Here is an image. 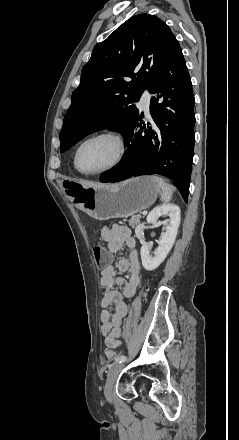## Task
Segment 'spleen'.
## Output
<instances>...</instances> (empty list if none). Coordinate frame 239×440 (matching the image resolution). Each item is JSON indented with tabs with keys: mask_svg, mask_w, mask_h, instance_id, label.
<instances>
[{
	"mask_svg": "<svg viewBox=\"0 0 239 440\" xmlns=\"http://www.w3.org/2000/svg\"><path fill=\"white\" fill-rule=\"evenodd\" d=\"M152 178L153 180H155V182H158L162 190V194H161L162 202H170V200H172V194L173 192H175L176 188H174V186H170V184H166L163 178H157V176H152Z\"/></svg>",
	"mask_w": 239,
	"mask_h": 440,
	"instance_id": "3e777b00",
	"label": "spleen"
}]
</instances>
